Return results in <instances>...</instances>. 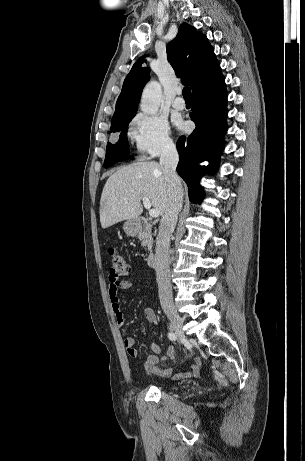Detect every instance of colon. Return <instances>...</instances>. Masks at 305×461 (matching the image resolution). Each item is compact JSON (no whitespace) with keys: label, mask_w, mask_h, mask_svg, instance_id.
Instances as JSON below:
<instances>
[{"label":"colon","mask_w":305,"mask_h":461,"mask_svg":"<svg viewBox=\"0 0 305 461\" xmlns=\"http://www.w3.org/2000/svg\"><path fill=\"white\" fill-rule=\"evenodd\" d=\"M110 255V276L118 279L123 276H127L130 274L131 269L128 262L125 258L118 253L115 249H111L109 252Z\"/></svg>","instance_id":"obj_1"}]
</instances>
